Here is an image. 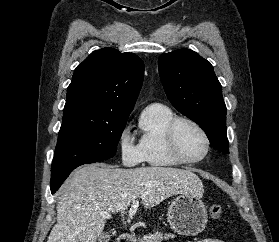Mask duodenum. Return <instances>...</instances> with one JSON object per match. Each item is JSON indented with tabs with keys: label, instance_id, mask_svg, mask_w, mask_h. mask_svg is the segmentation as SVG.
<instances>
[{
	"label": "duodenum",
	"instance_id": "1",
	"mask_svg": "<svg viewBox=\"0 0 279 242\" xmlns=\"http://www.w3.org/2000/svg\"><path fill=\"white\" fill-rule=\"evenodd\" d=\"M117 242H134V239L129 234H121L118 236Z\"/></svg>",
	"mask_w": 279,
	"mask_h": 242
}]
</instances>
